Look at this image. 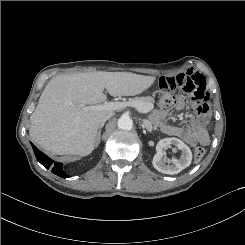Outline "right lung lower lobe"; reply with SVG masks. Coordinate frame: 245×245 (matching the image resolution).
Wrapping results in <instances>:
<instances>
[{"mask_svg":"<svg viewBox=\"0 0 245 245\" xmlns=\"http://www.w3.org/2000/svg\"><path fill=\"white\" fill-rule=\"evenodd\" d=\"M32 148L34 150L35 156L37 160L47 169H51V171L62 178H67L69 175H67L62 168V164L59 162H54L52 159H50L48 156H46L44 153H42L40 150L36 148L32 143Z\"/></svg>","mask_w":245,"mask_h":245,"instance_id":"obj_1","label":"right lung lower lobe"}]
</instances>
